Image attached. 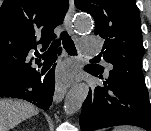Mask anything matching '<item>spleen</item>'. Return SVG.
<instances>
[{
  "label": "spleen",
  "mask_w": 151,
  "mask_h": 131,
  "mask_svg": "<svg viewBox=\"0 0 151 131\" xmlns=\"http://www.w3.org/2000/svg\"><path fill=\"white\" fill-rule=\"evenodd\" d=\"M113 131H140V130L131 126H119L115 127Z\"/></svg>",
  "instance_id": "1"
}]
</instances>
